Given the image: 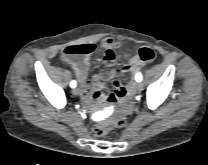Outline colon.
Segmentation results:
<instances>
[{"label":"colon","instance_id":"obj_1","mask_svg":"<svg viewBox=\"0 0 208 165\" xmlns=\"http://www.w3.org/2000/svg\"><path fill=\"white\" fill-rule=\"evenodd\" d=\"M90 52L91 49L89 46L85 44H77L66 47L63 53L65 57H76V56L89 54ZM155 59H156V54L152 49L147 47L140 48L137 51L136 55H131L129 57L128 63L123 69V73L126 77L131 78L135 75V73L141 70V68L144 66L145 63L153 62ZM118 81H120L122 84V87L120 89L121 90L120 98H121L125 96L126 94L125 87H128L130 85V82L128 80H125L124 82H122L121 80ZM126 119H127L126 113H122L112 121H106L97 125L93 130V134L96 137H102L106 135L113 126L116 127L124 126L126 124Z\"/></svg>","mask_w":208,"mask_h":165}]
</instances>
